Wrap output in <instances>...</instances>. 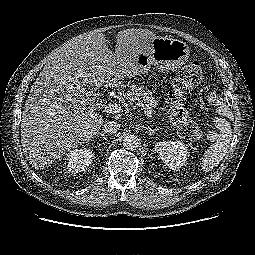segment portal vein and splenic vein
<instances>
[{
    "instance_id": "1",
    "label": "portal vein and splenic vein",
    "mask_w": 255,
    "mask_h": 255,
    "mask_svg": "<svg viewBox=\"0 0 255 255\" xmlns=\"http://www.w3.org/2000/svg\"><path fill=\"white\" fill-rule=\"evenodd\" d=\"M144 109V113L148 116V117H152V109L148 106V105H144L143 106ZM122 108L120 104H116V103H109L105 106V112L109 113V114H116L121 112Z\"/></svg>"
}]
</instances>
